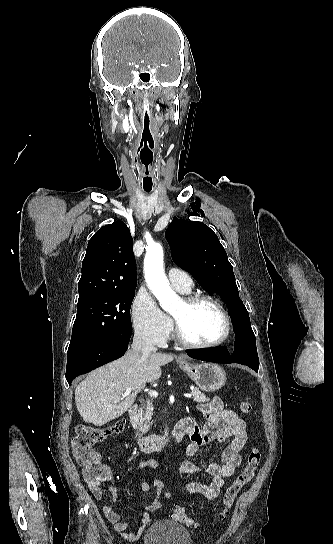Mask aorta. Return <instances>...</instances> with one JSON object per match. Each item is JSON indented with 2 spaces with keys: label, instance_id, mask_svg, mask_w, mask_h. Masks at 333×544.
I'll return each mask as SVG.
<instances>
[{
  "label": "aorta",
  "instance_id": "aorta-1",
  "mask_svg": "<svg viewBox=\"0 0 333 544\" xmlns=\"http://www.w3.org/2000/svg\"><path fill=\"white\" fill-rule=\"evenodd\" d=\"M145 279L153 295L165 311H171L179 296L171 289L163 269V248L154 244L147 248L144 259Z\"/></svg>",
  "mask_w": 333,
  "mask_h": 544
}]
</instances>
